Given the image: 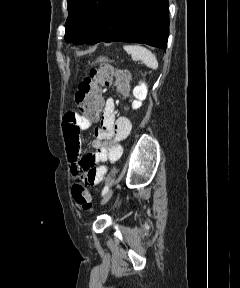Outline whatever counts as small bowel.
Returning a JSON list of instances; mask_svg holds the SVG:
<instances>
[{
	"instance_id": "1",
	"label": "small bowel",
	"mask_w": 240,
	"mask_h": 288,
	"mask_svg": "<svg viewBox=\"0 0 240 288\" xmlns=\"http://www.w3.org/2000/svg\"><path fill=\"white\" fill-rule=\"evenodd\" d=\"M93 121L86 119L75 111H69L63 119V135L70 163L71 173L75 179H81L86 185H97L105 177V163H114L122 155L120 142L127 138L132 126L125 116L116 115L113 98L105 100L100 117V125L94 131L93 153L81 155L80 132L89 129Z\"/></svg>"
}]
</instances>
